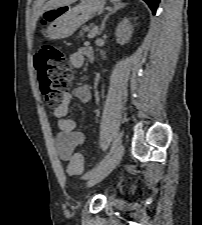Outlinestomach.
I'll list each match as a JSON object with an SVG mask.
<instances>
[{"instance_id":"stomach-1","label":"stomach","mask_w":202,"mask_h":225,"mask_svg":"<svg viewBox=\"0 0 202 225\" xmlns=\"http://www.w3.org/2000/svg\"><path fill=\"white\" fill-rule=\"evenodd\" d=\"M105 4L106 0H82L74 7L60 6L46 11L45 13L52 18L45 31L46 37L53 40L70 37Z\"/></svg>"}]
</instances>
